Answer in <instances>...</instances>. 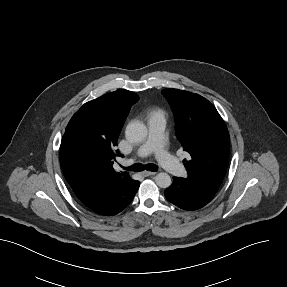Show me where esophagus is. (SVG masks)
I'll return each instance as SVG.
<instances>
[{
    "label": "esophagus",
    "instance_id": "1",
    "mask_svg": "<svg viewBox=\"0 0 287 287\" xmlns=\"http://www.w3.org/2000/svg\"><path fill=\"white\" fill-rule=\"evenodd\" d=\"M155 174H156V172H151V171H144V172H142V175L144 177L155 175Z\"/></svg>",
    "mask_w": 287,
    "mask_h": 287
}]
</instances>
